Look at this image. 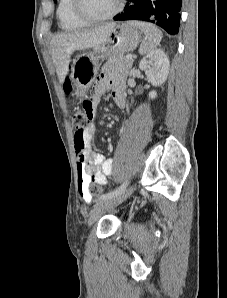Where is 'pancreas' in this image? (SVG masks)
<instances>
[{"instance_id":"obj_1","label":"pancreas","mask_w":227,"mask_h":298,"mask_svg":"<svg viewBox=\"0 0 227 298\" xmlns=\"http://www.w3.org/2000/svg\"><path fill=\"white\" fill-rule=\"evenodd\" d=\"M133 65V60L124 56L109 57L102 70H115L123 75H128Z\"/></svg>"}]
</instances>
